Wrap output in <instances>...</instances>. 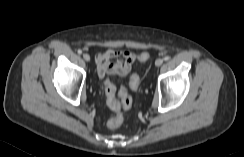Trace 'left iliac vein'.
I'll list each match as a JSON object with an SVG mask.
<instances>
[{
    "mask_svg": "<svg viewBox=\"0 0 244 157\" xmlns=\"http://www.w3.org/2000/svg\"><path fill=\"white\" fill-rule=\"evenodd\" d=\"M163 63V60L161 58H158L156 61H155V65L156 66H161Z\"/></svg>",
    "mask_w": 244,
    "mask_h": 157,
    "instance_id": "left-iliac-vein-1",
    "label": "left iliac vein"
}]
</instances>
